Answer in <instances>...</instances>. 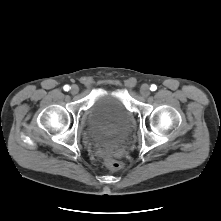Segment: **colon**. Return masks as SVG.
Returning a JSON list of instances; mask_svg holds the SVG:
<instances>
[{
    "mask_svg": "<svg viewBox=\"0 0 221 221\" xmlns=\"http://www.w3.org/2000/svg\"><path fill=\"white\" fill-rule=\"evenodd\" d=\"M105 164L109 169L114 171H119L123 169V164L112 157L106 158Z\"/></svg>",
    "mask_w": 221,
    "mask_h": 221,
    "instance_id": "obj_1",
    "label": "colon"
}]
</instances>
